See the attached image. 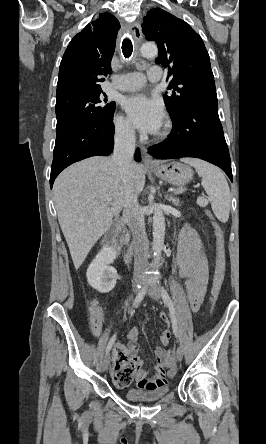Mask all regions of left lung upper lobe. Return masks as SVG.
I'll return each instance as SVG.
<instances>
[{
	"mask_svg": "<svg viewBox=\"0 0 266 444\" xmlns=\"http://www.w3.org/2000/svg\"><path fill=\"white\" fill-rule=\"evenodd\" d=\"M142 28L146 39L157 43L156 63L168 68L170 93L163 98L171 119L194 104L218 102L209 54L189 24L155 8L143 18Z\"/></svg>",
	"mask_w": 266,
	"mask_h": 444,
	"instance_id": "obj_1",
	"label": "left lung upper lobe"
}]
</instances>
